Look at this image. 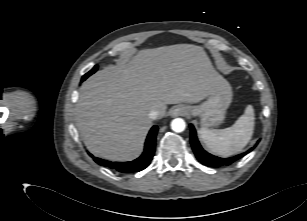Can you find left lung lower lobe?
Returning a JSON list of instances; mask_svg holds the SVG:
<instances>
[{
    "label": "left lung lower lobe",
    "mask_w": 307,
    "mask_h": 221,
    "mask_svg": "<svg viewBox=\"0 0 307 221\" xmlns=\"http://www.w3.org/2000/svg\"><path fill=\"white\" fill-rule=\"evenodd\" d=\"M190 129H191V136H190V141H191V145L193 148V151L197 157V159L204 165L209 166V167H221L224 165H230L232 163H234L235 161L241 159L243 156H245L247 153H249L250 151L253 150V148H251L250 150L239 154L237 156L231 157V158H220L214 155H211L209 153H207L205 150H203V148L201 147L197 136H196V131L193 125H190Z\"/></svg>",
    "instance_id": "1"
}]
</instances>
